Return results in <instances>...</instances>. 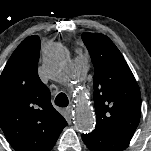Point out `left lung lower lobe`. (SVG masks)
Returning <instances> with one entry per match:
<instances>
[{
    "mask_svg": "<svg viewBox=\"0 0 151 151\" xmlns=\"http://www.w3.org/2000/svg\"><path fill=\"white\" fill-rule=\"evenodd\" d=\"M132 137L94 130L84 134L82 139L91 151H122L128 147Z\"/></svg>",
    "mask_w": 151,
    "mask_h": 151,
    "instance_id": "obj_1",
    "label": "left lung lower lobe"
}]
</instances>
